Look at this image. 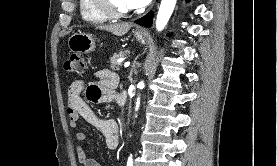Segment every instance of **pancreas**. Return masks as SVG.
Masks as SVG:
<instances>
[{
    "instance_id": "1",
    "label": "pancreas",
    "mask_w": 277,
    "mask_h": 166,
    "mask_svg": "<svg viewBox=\"0 0 277 166\" xmlns=\"http://www.w3.org/2000/svg\"><path fill=\"white\" fill-rule=\"evenodd\" d=\"M129 51L128 50H121L118 53H114L113 56L110 59V68L113 70H120L121 63H119L117 60L123 56H125Z\"/></svg>"
}]
</instances>
